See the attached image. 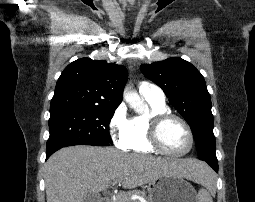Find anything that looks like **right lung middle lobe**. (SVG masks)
<instances>
[{"instance_id": "dd1d6c3e", "label": "right lung middle lobe", "mask_w": 255, "mask_h": 202, "mask_svg": "<svg viewBox=\"0 0 255 202\" xmlns=\"http://www.w3.org/2000/svg\"><path fill=\"white\" fill-rule=\"evenodd\" d=\"M115 109L84 107L50 114L47 151L80 144L108 146L109 123Z\"/></svg>"}]
</instances>
